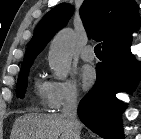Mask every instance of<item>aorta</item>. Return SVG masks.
Wrapping results in <instances>:
<instances>
[{
  "label": "aorta",
  "instance_id": "762f6f07",
  "mask_svg": "<svg viewBox=\"0 0 141 139\" xmlns=\"http://www.w3.org/2000/svg\"><path fill=\"white\" fill-rule=\"evenodd\" d=\"M75 38L69 28L61 30L52 40L48 54L49 66L58 79L67 78L71 67Z\"/></svg>",
  "mask_w": 141,
  "mask_h": 139
}]
</instances>
